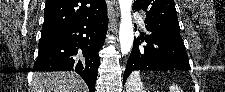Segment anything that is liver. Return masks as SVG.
Returning <instances> with one entry per match:
<instances>
[{"label":"liver","mask_w":225,"mask_h":92,"mask_svg":"<svg viewBox=\"0 0 225 92\" xmlns=\"http://www.w3.org/2000/svg\"><path fill=\"white\" fill-rule=\"evenodd\" d=\"M31 92H88L85 82L74 72H36Z\"/></svg>","instance_id":"1"}]
</instances>
